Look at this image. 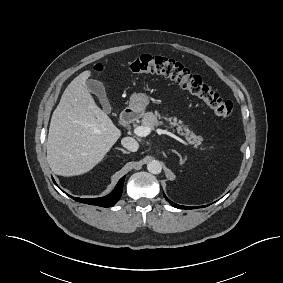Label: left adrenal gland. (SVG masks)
<instances>
[{
  "instance_id": "a2214340",
  "label": "left adrenal gland",
  "mask_w": 283,
  "mask_h": 283,
  "mask_svg": "<svg viewBox=\"0 0 283 283\" xmlns=\"http://www.w3.org/2000/svg\"><path fill=\"white\" fill-rule=\"evenodd\" d=\"M172 152H174L175 154H177V156L179 157V163L180 165H183L185 163V159L182 158L181 154L178 153L176 150H172Z\"/></svg>"
}]
</instances>
